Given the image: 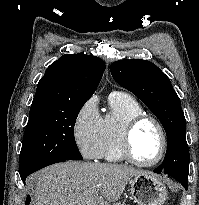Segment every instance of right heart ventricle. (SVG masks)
I'll return each mask as SVG.
<instances>
[{"label": "right heart ventricle", "instance_id": "obj_1", "mask_svg": "<svg viewBox=\"0 0 199 205\" xmlns=\"http://www.w3.org/2000/svg\"><path fill=\"white\" fill-rule=\"evenodd\" d=\"M109 110L101 119V158L110 163L125 159L120 151V135L125 123L143 113L142 106L133 97L115 92L109 96Z\"/></svg>", "mask_w": 199, "mask_h": 205}]
</instances>
